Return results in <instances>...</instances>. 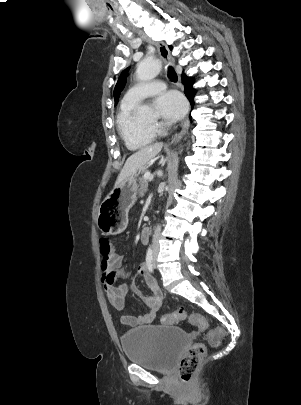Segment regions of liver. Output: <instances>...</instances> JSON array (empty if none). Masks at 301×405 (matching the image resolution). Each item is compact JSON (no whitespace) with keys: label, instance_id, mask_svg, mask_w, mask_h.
Segmentation results:
<instances>
[{"label":"liver","instance_id":"1","mask_svg":"<svg viewBox=\"0 0 301 405\" xmlns=\"http://www.w3.org/2000/svg\"><path fill=\"white\" fill-rule=\"evenodd\" d=\"M163 148V143H155L146 146L139 151L132 154L125 162L117 180L115 186L120 185L124 180L141 169L146 163L152 160Z\"/></svg>","mask_w":301,"mask_h":405}]
</instances>
